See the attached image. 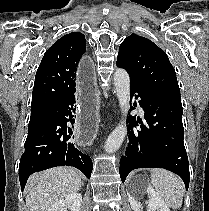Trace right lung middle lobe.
<instances>
[{
    "label": "right lung middle lobe",
    "instance_id": "right-lung-middle-lobe-1",
    "mask_svg": "<svg viewBox=\"0 0 209 211\" xmlns=\"http://www.w3.org/2000/svg\"><path fill=\"white\" fill-rule=\"evenodd\" d=\"M46 110L31 112L30 122L28 125V131L33 128L45 115Z\"/></svg>",
    "mask_w": 209,
    "mask_h": 211
}]
</instances>
